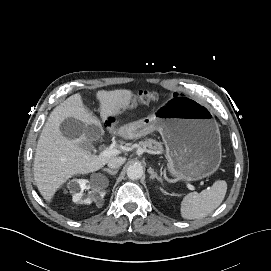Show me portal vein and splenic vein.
I'll use <instances>...</instances> for the list:
<instances>
[{
    "label": "portal vein and splenic vein",
    "mask_w": 271,
    "mask_h": 271,
    "mask_svg": "<svg viewBox=\"0 0 271 271\" xmlns=\"http://www.w3.org/2000/svg\"><path fill=\"white\" fill-rule=\"evenodd\" d=\"M118 154H120V150L113 149L112 147L109 146V147H106L102 152H100L99 156L105 157V156H113V155H118ZM187 187L190 190H195V187L190 183H187Z\"/></svg>",
    "instance_id": "portal-vein-and-splenic-vein-1"
}]
</instances>
